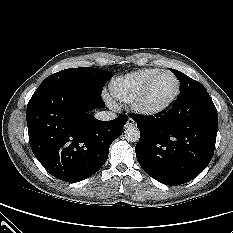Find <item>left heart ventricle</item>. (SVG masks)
Masks as SVG:
<instances>
[{"label": "left heart ventricle", "mask_w": 233, "mask_h": 233, "mask_svg": "<svg viewBox=\"0 0 233 233\" xmlns=\"http://www.w3.org/2000/svg\"><path fill=\"white\" fill-rule=\"evenodd\" d=\"M175 89V79L169 74H162L152 83L144 103L151 107L160 106L173 96Z\"/></svg>", "instance_id": "1"}]
</instances>
